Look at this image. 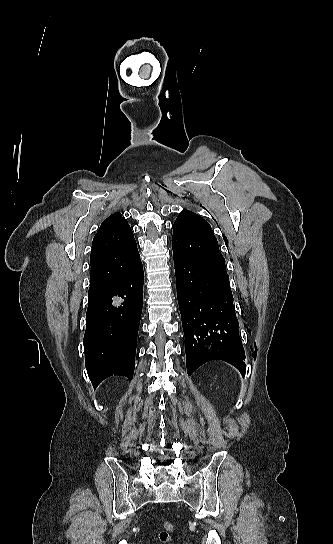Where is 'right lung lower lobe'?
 <instances>
[{"mask_svg": "<svg viewBox=\"0 0 333 544\" xmlns=\"http://www.w3.org/2000/svg\"><path fill=\"white\" fill-rule=\"evenodd\" d=\"M143 283L140 262L112 286L89 295L84 352L87 373L94 388L112 375L132 379Z\"/></svg>", "mask_w": 333, "mask_h": 544, "instance_id": "98d812e1", "label": "right lung lower lobe"}]
</instances>
